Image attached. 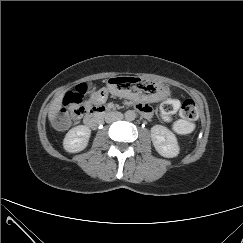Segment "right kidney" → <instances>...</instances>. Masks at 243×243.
Returning a JSON list of instances; mask_svg holds the SVG:
<instances>
[{"instance_id": "ca27d5eb", "label": "right kidney", "mask_w": 243, "mask_h": 243, "mask_svg": "<svg viewBox=\"0 0 243 243\" xmlns=\"http://www.w3.org/2000/svg\"><path fill=\"white\" fill-rule=\"evenodd\" d=\"M90 135L91 130L87 126H76L66 134L63 140V147L70 153L80 152L86 148Z\"/></svg>"}]
</instances>
